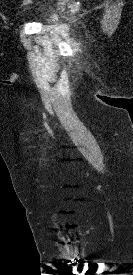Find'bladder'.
<instances>
[{
    "instance_id": "obj_1",
    "label": "bladder",
    "mask_w": 133,
    "mask_h": 275,
    "mask_svg": "<svg viewBox=\"0 0 133 275\" xmlns=\"http://www.w3.org/2000/svg\"><path fill=\"white\" fill-rule=\"evenodd\" d=\"M59 18V14L55 11H52L49 15H48V21L49 22H55L57 19Z\"/></svg>"
}]
</instances>
